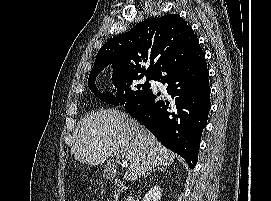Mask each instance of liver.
I'll return each mask as SVG.
<instances>
[{
	"instance_id": "liver-1",
	"label": "liver",
	"mask_w": 271,
	"mask_h": 201,
	"mask_svg": "<svg viewBox=\"0 0 271 201\" xmlns=\"http://www.w3.org/2000/svg\"><path fill=\"white\" fill-rule=\"evenodd\" d=\"M75 160L99 165L119 154L128 160L125 180L135 181L156 166H170L174 154L128 114L116 109H99L83 120L71 148Z\"/></svg>"
}]
</instances>
